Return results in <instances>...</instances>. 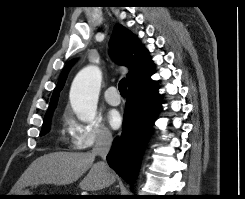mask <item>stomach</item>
Wrapping results in <instances>:
<instances>
[{"label": "stomach", "instance_id": "stomach-1", "mask_svg": "<svg viewBox=\"0 0 245 199\" xmlns=\"http://www.w3.org/2000/svg\"><path fill=\"white\" fill-rule=\"evenodd\" d=\"M10 195H34L27 190H18L17 192L10 194ZM12 199H31L33 197L30 196H12Z\"/></svg>", "mask_w": 245, "mask_h": 199}]
</instances>
